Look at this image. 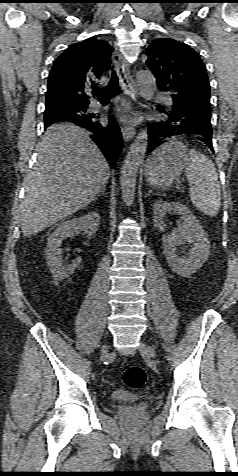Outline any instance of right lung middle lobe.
<instances>
[{
  "label": "right lung middle lobe",
  "mask_w": 238,
  "mask_h": 476,
  "mask_svg": "<svg viewBox=\"0 0 238 476\" xmlns=\"http://www.w3.org/2000/svg\"><path fill=\"white\" fill-rule=\"evenodd\" d=\"M88 106H78L70 104H46L45 123L70 122L74 119L90 117L86 112Z\"/></svg>",
  "instance_id": "dd1d6c3e"
}]
</instances>
